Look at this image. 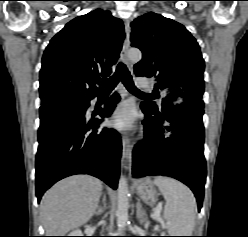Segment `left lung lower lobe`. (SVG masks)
Returning <instances> with one entry per match:
<instances>
[{"label":"left lung lower lobe","instance_id":"0a47b994","mask_svg":"<svg viewBox=\"0 0 248 237\" xmlns=\"http://www.w3.org/2000/svg\"><path fill=\"white\" fill-rule=\"evenodd\" d=\"M145 136L133 150V175L173 177L194 192L198 209L202 206L206 180L203 109L179 106L157 118L145 105Z\"/></svg>","mask_w":248,"mask_h":237}]
</instances>
